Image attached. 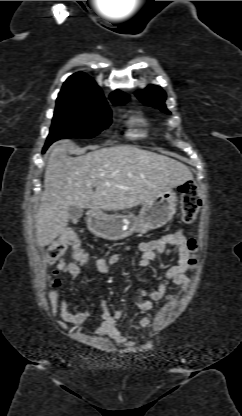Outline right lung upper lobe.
<instances>
[{
	"mask_svg": "<svg viewBox=\"0 0 242 416\" xmlns=\"http://www.w3.org/2000/svg\"><path fill=\"white\" fill-rule=\"evenodd\" d=\"M129 96L119 90L110 95L112 103L128 100ZM59 102H107L102 90L88 75L78 72L71 75L58 94Z\"/></svg>",
	"mask_w": 242,
	"mask_h": 416,
	"instance_id": "obj_1",
	"label": "right lung upper lobe"
}]
</instances>
